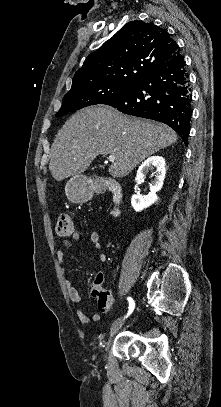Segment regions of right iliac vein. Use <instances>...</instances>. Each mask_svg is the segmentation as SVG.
Wrapping results in <instances>:
<instances>
[{"label": "right iliac vein", "instance_id": "63e3f726", "mask_svg": "<svg viewBox=\"0 0 221 407\" xmlns=\"http://www.w3.org/2000/svg\"><path fill=\"white\" fill-rule=\"evenodd\" d=\"M123 324H124V320H119L112 326L110 333H109L110 338L119 331V329L122 327Z\"/></svg>", "mask_w": 221, "mask_h": 407}]
</instances>
